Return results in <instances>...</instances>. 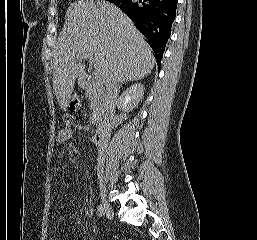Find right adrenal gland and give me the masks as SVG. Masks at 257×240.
I'll return each instance as SVG.
<instances>
[{
    "mask_svg": "<svg viewBox=\"0 0 257 240\" xmlns=\"http://www.w3.org/2000/svg\"><path fill=\"white\" fill-rule=\"evenodd\" d=\"M122 85H123V83H121L120 86H119L118 94L120 93V89H121Z\"/></svg>",
    "mask_w": 257,
    "mask_h": 240,
    "instance_id": "2a0ac1e0",
    "label": "right adrenal gland"
}]
</instances>
